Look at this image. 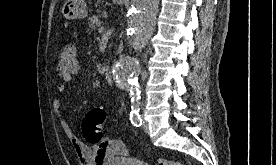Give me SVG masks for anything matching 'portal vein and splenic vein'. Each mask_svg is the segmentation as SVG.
I'll list each match as a JSON object with an SVG mask.
<instances>
[{
  "label": "portal vein and splenic vein",
  "instance_id": "18ae733b",
  "mask_svg": "<svg viewBox=\"0 0 276 165\" xmlns=\"http://www.w3.org/2000/svg\"><path fill=\"white\" fill-rule=\"evenodd\" d=\"M98 32H99L100 34L105 33V32H106V28H105V27H100V28L98 29Z\"/></svg>",
  "mask_w": 276,
  "mask_h": 165
}]
</instances>
